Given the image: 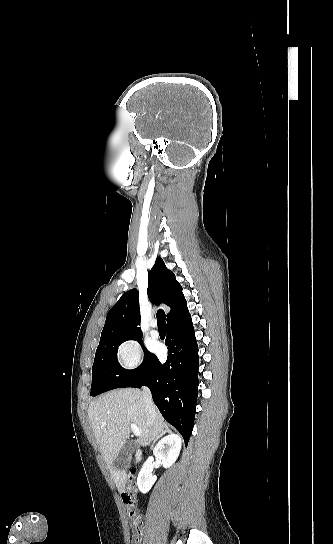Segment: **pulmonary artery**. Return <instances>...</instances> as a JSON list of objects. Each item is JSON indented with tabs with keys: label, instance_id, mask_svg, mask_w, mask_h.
I'll return each instance as SVG.
<instances>
[{
	"label": "pulmonary artery",
	"instance_id": "1",
	"mask_svg": "<svg viewBox=\"0 0 333 544\" xmlns=\"http://www.w3.org/2000/svg\"><path fill=\"white\" fill-rule=\"evenodd\" d=\"M150 325L152 327L150 335H151L152 338L157 339L159 337V332H158V329H157V321L152 320Z\"/></svg>",
	"mask_w": 333,
	"mask_h": 544
}]
</instances>
